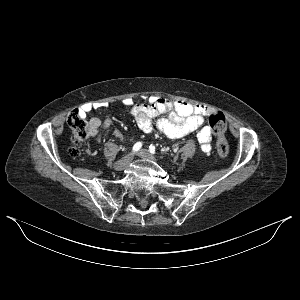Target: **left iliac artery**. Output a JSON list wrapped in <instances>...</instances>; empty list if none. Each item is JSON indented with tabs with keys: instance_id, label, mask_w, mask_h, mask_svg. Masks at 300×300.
<instances>
[{
	"instance_id": "left-iliac-artery-1",
	"label": "left iliac artery",
	"mask_w": 300,
	"mask_h": 300,
	"mask_svg": "<svg viewBox=\"0 0 300 300\" xmlns=\"http://www.w3.org/2000/svg\"><path fill=\"white\" fill-rule=\"evenodd\" d=\"M149 152H150L151 154H155V146H154V145H150V146H149Z\"/></svg>"
}]
</instances>
